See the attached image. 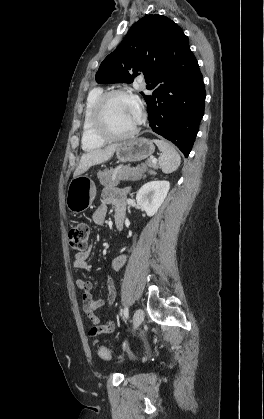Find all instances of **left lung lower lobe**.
Here are the masks:
<instances>
[{"instance_id": "1", "label": "left lung lower lobe", "mask_w": 264, "mask_h": 419, "mask_svg": "<svg viewBox=\"0 0 264 419\" xmlns=\"http://www.w3.org/2000/svg\"><path fill=\"white\" fill-rule=\"evenodd\" d=\"M168 65L145 97L151 129L187 157L204 114L205 88L198 62L183 33L168 45Z\"/></svg>"}]
</instances>
